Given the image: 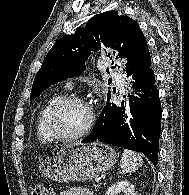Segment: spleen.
I'll return each instance as SVG.
<instances>
[{
  "label": "spleen",
  "mask_w": 189,
  "mask_h": 195,
  "mask_svg": "<svg viewBox=\"0 0 189 195\" xmlns=\"http://www.w3.org/2000/svg\"><path fill=\"white\" fill-rule=\"evenodd\" d=\"M143 164L141 156L135 152L124 150L123 156L120 162V168L123 172H135Z\"/></svg>",
  "instance_id": "spleen-1"
}]
</instances>
